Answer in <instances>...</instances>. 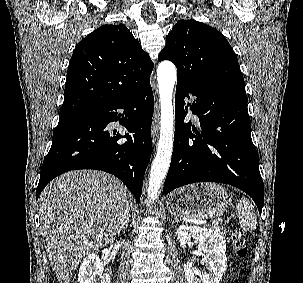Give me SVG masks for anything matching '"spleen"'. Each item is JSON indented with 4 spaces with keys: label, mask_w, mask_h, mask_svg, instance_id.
Segmentation results:
<instances>
[{
    "label": "spleen",
    "mask_w": 303,
    "mask_h": 283,
    "mask_svg": "<svg viewBox=\"0 0 303 283\" xmlns=\"http://www.w3.org/2000/svg\"><path fill=\"white\" fill-rule=\"evenodd\" d=\"M236 214L240 227L244 232H253L257 226V218L249 200L242 197L236 205Z\"/></svg>",
    "instance_id": "3e777b00"
}]
</instances>
